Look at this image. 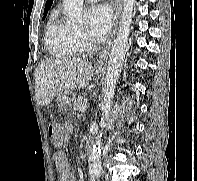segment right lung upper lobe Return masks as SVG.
Returning a JSON list of instances; mask_svg holds the SVG:
<instances>
[{
	"label": "right lung upper lobe",
	"instance_id": "1",
	"mask_svg": "<svg viewBox=\"0 0 197 181\" xmlns=\"http://www.w3.org/2000/svg\"><path fill=\"white\" fill-rule=\"evenodd\" d=\"M52 3H53V0H47L45 10H44V14H47V12L50 9Z\"/></svg>",
	"mask_w": 197,
	"mask_h": 181
}]
</instances>
